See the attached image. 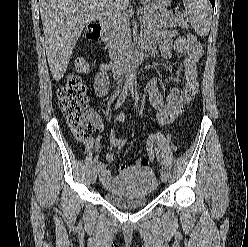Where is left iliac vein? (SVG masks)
<instances>
[{
    "label": "left iliac vein",
    "instance_id": "1",
    "mask_svg": "<svg viewBox=\"0 0 248 247\" xmlns=\"http://www.w3.org/2000/svg\"><path fill=\"white\" fill-rule=\"evenodd\" d=\"M167 177H168V174H167V171L164 167L161 168L160 170V178L163 182H166L167 181Z\"/></svg>",
    "mask_w": 248,
    "mask_h": 247
}]
</instances>
